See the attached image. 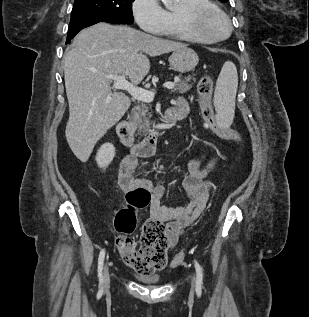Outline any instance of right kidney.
Returning a JSON list of instances; mask_svg holds the SVG:
<instances>
[{"instance_id": "ca27d5eb", "label": "right kidney", "mask_w": 309, "mask_h": 317, "mask_svg": "<svg viewBox=\"0 0 309 317\" xmlns=\"http://www.w3.org/2000/svg\"><path fill=\"white\" fill-rule=\"evenodd\" d=\"M115 157V147L111 143L103 144L96 154V162L99 168L105 169Z\"/></svg>"}]
</instances>
